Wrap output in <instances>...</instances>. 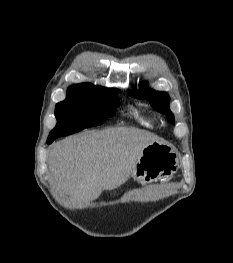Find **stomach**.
<instances>
[{"label":"stomach","mask_w":233,"mask_h":263,"mask_svg":"<svg viewBox=\"0 0 233 263\" xmlns=\"http://www.w3.org/2000/svg\"><path fill=\"white\" fill-rule=\"evenodd\" d=\"M179 166V154L168 143L154 141L143 148L132 172L141 184L151 183L173 175Z\"/></svg>","instance_id":"0dacf381"}]
</instances>
